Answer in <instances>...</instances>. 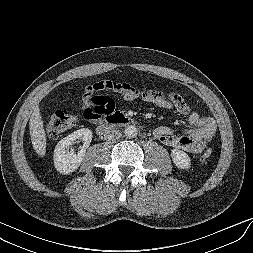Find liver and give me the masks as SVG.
I'll list each match as a JSON object with an SVG mask.
<instances>
[{"instance_id":"liver-1","label":"liver","mask_w":253,"mask_h":253,"mask_svg":"<svg viewBox=\"0 0 253 253\" xmlns=\"http://www.w3.org/2000/svg\"><path fill=\"white\" fill-rule=\"evenodd\" d=\"M31 142L35 152L44 157L46 153V133L44 130V124L40 114V108L36 106L32 112L29 122Z\"/></svg>"}]
</instances>
